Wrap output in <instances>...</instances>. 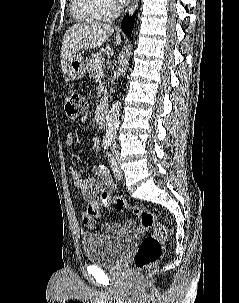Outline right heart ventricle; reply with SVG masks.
<instances>
[{"instance_id": "obj_1", "label": "right heart ventricle", "mask_w": 239, "mask_h": 303, "mask_svg": "<svg viewBox=\"0 0 239 303\" xmlns=\"http://www.w3.org/2000/svg\"><path fill=\"white\" fill-rule=\"evenodd\" d=\"M72 15L80 22L102 21L104 17L98 8L96 0H71Z\"/></svg>"}]
</instances>
